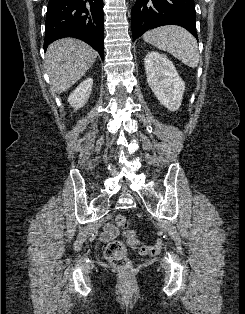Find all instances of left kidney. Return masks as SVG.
<instances>
[{
	"label": "left kidney",
	"mask_w": 245,
	"mask_h": 314,
	"mask_svg": "<svg viewBox=\"0 0 245 314\" xmlns=\"http://www.w3.org/2000/svg\"><path fill=\"white\" fill-rule=\"evenodd\" d=\"M147 82L159 102L170 111L179 109L185 83L166 56L149 51L144 59Z\"/></svg>",
	"instance_id": "1"
}]
</instances>
